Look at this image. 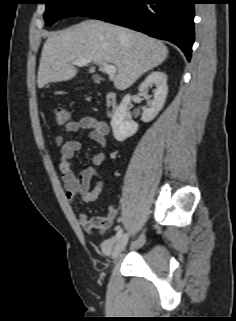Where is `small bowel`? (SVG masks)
Here are the masks:
<instances>
[{
	"mask_svg": "<svg viewBox=\"0 0 236 321\" xmlns=\"http://www.w3.org/2000/svg\"><path fill=\"white\" fill-rule=\"evenodd\" d=\"M81 130H88L90 137L100 147L106 146V136L110 133L109 125L94 116H85L78 121H69L61 126V134L55 136V144L58 149V165L65 187L67 200L75 206L78 201L91 203L96 201L104 191V183L101 175L95 166H101L106 160L104 151L96 152L92 157L93 166L86 167L76 173L71 165V159L80 150L81 143L78 140H64L62 134H72ZM95 178L94 187L90 188V181ZM118 210L110 206L107 217L89 218L85 213L78 214V222L87 233H93L97 227H109L117 218ZM112 248V241H106L102 245L104 253H109Z\"/></svg>",
	"mask_w": 236,
	"mask_h": 321,
	"instance_id": "small-bowel-1",
	"label": "small bowel"
}]
</instances>
